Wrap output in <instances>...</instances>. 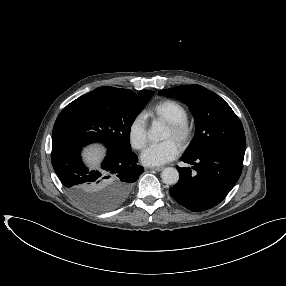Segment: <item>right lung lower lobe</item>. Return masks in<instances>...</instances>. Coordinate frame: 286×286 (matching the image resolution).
Here are the masks:
<instances>
[{"label":"right lung lower lobe","mask_w":286,"mask_h":286,"mask_svg":"<svg viewBox=\"0 0 286 286\" xmlns=\"http://www.w3.org/2000/svg\"><path fill=\"white\" fill-rule=\"evenodd\" d=\"M91 143L69 128L56 123L52 133V165L64 187L80 203L95 198L112 208L130 194L132 184L143 173L131 149L107 147L100 171H89L80 157L82 147ZM109 210V209H108Z\"/></svg>","instance_id":"obj_1"}]
</instances>
